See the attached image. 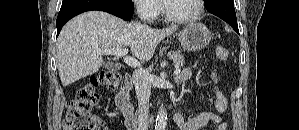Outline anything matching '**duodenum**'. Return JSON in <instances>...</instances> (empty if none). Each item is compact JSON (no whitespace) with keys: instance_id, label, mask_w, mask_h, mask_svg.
<instances>
[{"instance_id":"1","label":"duodenum","mask_w":299,"mask_h":130,"mask_svg":"<svg viewBox=\"0 0 299 130\" xmlns=\"http://www.w3.org/2000/svg\"><path fill=\"white\" fill-rule=\"evenodd\" d=\"M132 89V77L125 75L124 83L115 97L117 109L125 118V124L128 130H139V120L135 116L134 109L130 103L129 96Z\"/></svg>"}]
</instances>
